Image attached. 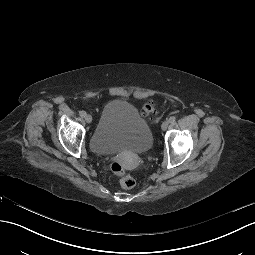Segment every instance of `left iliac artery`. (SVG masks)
<instances>
[{
    "instance_id": "44dca946",
    "label": "left iliac artery",
    "mask_w": 255,
    "mask_h": 255,
    "mask_svg": "<svg viewBox=\"0 0 255 255\" xmlns=\"http://www.w3.org/2000/svg\"><path fill=\"white\" fill-rule=\"evenodd\" d=\"M175 120H176V117H175V116H171V117L169 118V122H170V123H174Z\"/></svg>"
}]
</instances>
